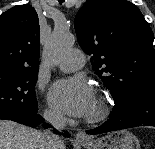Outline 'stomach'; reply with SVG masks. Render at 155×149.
Wrapping results in <instances>:
<instances>
[{"instance_id": "0dacf381", "label": "stomach", "mask_w": 155, "mask_h": 149, "mask_svg": "<svg viewBox=\"0 0 155 149\" xmlns=\"http://www.w3.org/2000/svg\"><path fill=\"white\" fill-rule=\"evenodd\" d=\"M82 145L85 149H140L136 136L127 130L114 131Z\"/></svg>"}]
</instances>
